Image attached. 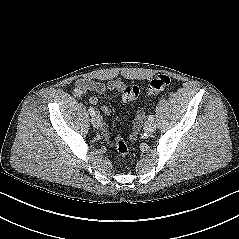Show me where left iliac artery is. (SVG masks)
<instances>
[{
	"mask_svg": "<svg viewBox=\"0 0 239 239\" xmlns=\"http://www.w3.org/2000/svg\"><path fill=\"white\" fill-rule=\"evenodd\" d=\"M148 120H149V121H154V115H150V116L148 117Z\"/></svg>",
	"mask_w": 239,
	"mask_h": 239,
	"instance_id": "1",
	"label": "left iliac artery"
}]
</instances>
